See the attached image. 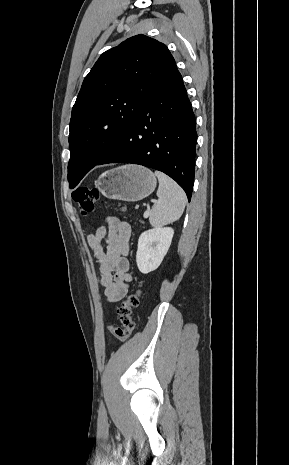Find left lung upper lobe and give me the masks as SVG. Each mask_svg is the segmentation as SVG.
<instances>
[{
	"mask_svg": "<svg viewBox=\"0 0 289 465\" xmlns=\"http://www.w3.org/2000/svg\"><path fill=\"white\" fill-rule=\"evenodd\" d=\"M176 71L166 45L142 34L100 56L72 108L70 188L113 148L149 93Z\"/></svg>",
	"mask_w": 289,
	"mask_h": 465,
	"instance_id": "left-lung-upper-lobe-1",
	"label": "left lung upper lobe"
}]
</instances>
